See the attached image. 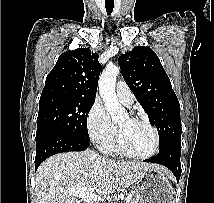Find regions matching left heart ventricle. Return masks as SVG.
<instances>
[{
	"label": "left heart ventricle",
	"instance_id": "1",
	"mask_svg": "<svg viewBox=\"0 0 214 203\" xmlns=\"http://www.w3.org/2000/svg\"><path fill=\"white\" fill-rule=\"evenodd\" d=\"M125 148L137 155L149 153L154 146L153 132L146 125L124 116L118 121Z\"/></svg>",
	"mask_w": 214,
	"mask_h": 203
}]
</instances>
